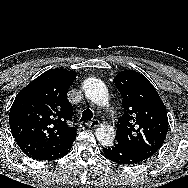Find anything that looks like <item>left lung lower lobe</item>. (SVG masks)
<instances>
[{
  "mask_svg": "<svg viewBox=\"0 0 188 188\" xmlns=\"http://www.w3.org/2000/svg\"><path fill=\"white\" fill-rule=\"evenodd\" d=\"M105 156L118 164L133 165L145 161L149 158L146 154L115 143L111 147L103 148Z\"/></svg>",
  "mask_w": 188,
  "mask_h": 188,
  "instance_id": "obj_1",
  "label": "left lung lower lobe"
}]
</instances>
